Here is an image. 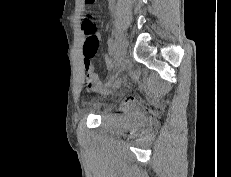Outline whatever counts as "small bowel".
Listing matches in <instances>:
<instances>
[{
    "instance_id": "small-bowel-1",
    "label": "small bowel",
    "mask_w": 231,
    "mask_h": 177,
    "mask_svg": "<svg viewBox=\"0 0 231 177\" xmlns=\"http://www.w3.org/2000/svg\"><path fill=\"white\" fill-rule=\"evenodd\" d=\"M84 68L86 71V85L90 89L97 90L100 92H106L108 91L109 87L117 85L118 82H115L111 85H103L98 77L93 73V65L91 59H87L84 56Z\"/></svg>"
}]
</instances>
